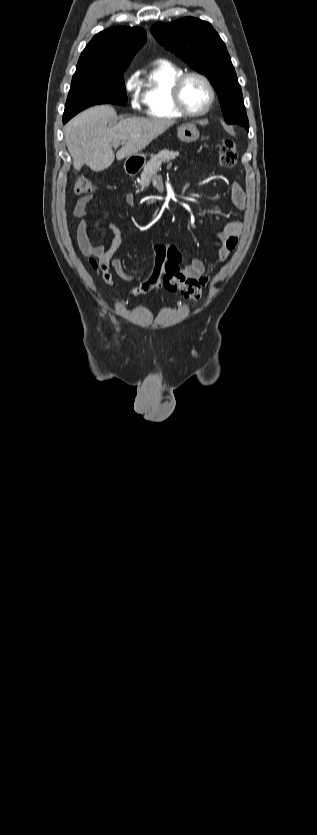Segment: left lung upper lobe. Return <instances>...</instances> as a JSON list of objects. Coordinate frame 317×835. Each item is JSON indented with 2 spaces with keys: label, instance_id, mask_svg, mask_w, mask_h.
Listing matches in <instances>:
<instances>
[{
  "label": "left lung upper lobe",
  "instance_id": "left-lung-upper-lobe-1",
  "mask_svg": "<svg viewBox=\"0 0 317 835\" xmlns=\"http://www.w3.org/2000/svg\"><path fill=\"white\" fill-rule=\"evenodd\" d=\"M151 32L167 50L209 78L219 96L225 121L249 130L235 69L224 42L211 24L185 17L169 24L156 23Z\"/></svg>",
  "mask_w": 317,
  "mask_h": 835
}]
</instances>
